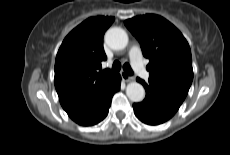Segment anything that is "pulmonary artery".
<instances>
[{"label":"pulmonary artery","instance_id":"obj_1","mask_svg":"<svg viewBox=\"0 0 230 155\" xmlns=\"http://www.w3.org/2000/svg\"><path fill=\"white\" fill-rule=\"evenodd\" d=\"M128 56L135 72L141 77L148 78L149 72L145 68L140 47L138 45H132L129 48Z\"/></svg>","mask_w":230,"mask_h":155}]
</instances>
